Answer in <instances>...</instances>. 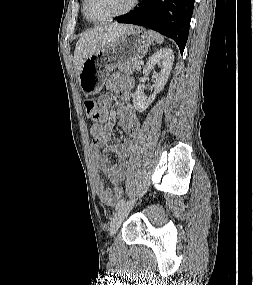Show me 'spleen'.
Listing matches in <instances>:
<instances>
[{
    "label": "spleen",
    "mask_w": 253,
    "mask_h": 285,
    "mask_svg": "<svg viewBox=\"0 0 253 285\" xmlns=\"http://www.w3.org/2000/svg\"><path fill=\"white\" fill-rule=\"evenodd\" d=\"M153 40H155L156 43L162 44L164 42V37L160 35L159 33L155 31H149Z\"/></svg>",
    "instance_id": "1"
}]
</instances>
